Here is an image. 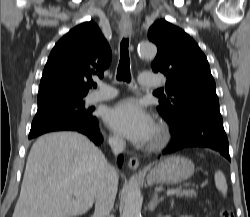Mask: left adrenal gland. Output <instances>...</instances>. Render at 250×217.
<instances>
[{
  "mask_svg": "<svg viewBox=\"0 0 250 217\" xmlns=\"http://www.w3.org/2000/svg\"><path fill=\"white\" fill-rule=\"evenodd\" d=\"M162 200H163V198H158L157 192H154V194L149 202V205H148L149 211L152 212L156 208L157 204Z\"/></svg>",
  "mask_w": 250,
  "mask_h": 217,
  "instance_id": "1",
  "label": "left adrenal gland"
}]
</instances>
